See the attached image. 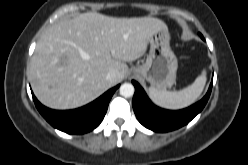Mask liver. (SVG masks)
<instances>
[{"instance_id": "6515ba94", "label": "liver", "mask_w": 248, "mask_h": 165, "mask_svg": "<svg viewBox=\"0 0 248 165\" xmlns=\"http://www.w3.org/2000/svg\"><path fill=\"white\" fill-rule=\"evenodd\" d=\"M166 24L157 18H115L96 12L63 19L37 42L30 81L37 99L52 109L90 103L128 72L125 62L144 55L149 38ZM114 71V82L106 75Z\"/></svg>"}]
</instances>
